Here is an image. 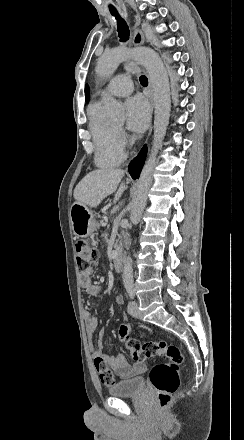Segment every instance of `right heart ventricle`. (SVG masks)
<instances>
[{
	"label": "right heart ventricle",
	"instance_id": "1",
	"mask_svg": "<svg viewBox=\"0 0 244 440\" xmlns=\"http://www.w3.org/2000/svg\"><path fill=\"white\" fill-rule=\"evenodd\" d=\"M102 105L100 101H93L87 108L90 135L94 141L95 163L100 168H112L118 166L125 158L122 147L112 148L109 146L114 129L101 120Z\"/></svg>",
	"mask_w": 244,
	"mask_h": 440
}]
</instances>
